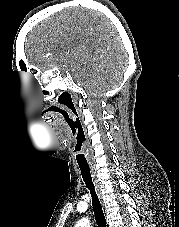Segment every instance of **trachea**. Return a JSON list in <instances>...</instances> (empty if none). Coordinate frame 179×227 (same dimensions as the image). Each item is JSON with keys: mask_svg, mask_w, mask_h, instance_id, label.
I'll list each match as a JSON object with an SVG mask.
<instances>
[{"mask_svg": "<svg viewBox=\"0 0 179 227\" xmlns=\"http://www.w3.org/2000/svg\"><path fill=\"white\" fill-rule=\"evenodd\" d=\"M75 156L77 158V164L80 168L81 175L83 178V181L86 184V187L89 189L91 196H92V207L95 215V220L98 225V227H107L106 219L102 210V206L100 203V200L96 194L95 187L92 181L91 173H90V167L88 165V161L86 159L87 155L85 150H76Z\"/></svg>", "mask_w": 179, "mask_h": 227, "instance_id": "1", "label": "trachea"}]
</instances>
